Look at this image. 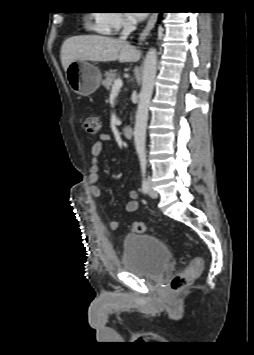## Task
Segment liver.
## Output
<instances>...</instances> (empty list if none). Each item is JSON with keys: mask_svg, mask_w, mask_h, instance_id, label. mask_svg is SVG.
<instances>
[{"mask_svg": "<svg viewBox=\"0 0 254 355\" xmlns=\"http://www.w3.org/2000/svg\"><path fill=\"white\" fill-rule=\"evenodd\" d=\"M60 58L66 71L70 63L76 60L136 62L140 58V52L120 39L102 35H80L64 41Z\"/></svg>", "mask_w": 254, "mask_h": 355, "instance_id": "6515ba94", "label": "liver"}]
</instances>
